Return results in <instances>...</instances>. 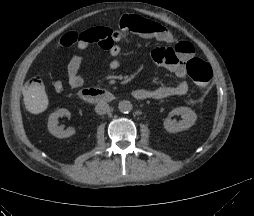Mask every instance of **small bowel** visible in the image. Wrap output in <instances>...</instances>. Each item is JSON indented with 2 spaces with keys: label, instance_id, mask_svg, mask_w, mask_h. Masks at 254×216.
Instances as JSON below:
<instances>
[{
  "label": "small bowel",
  "instance_id": "obj_1",
  "mask_svg": "<svg viewBox=\"0 0 254 216\" xmlns=\"http://www.w3.org/2000/svg\"><path fill=\"white\" fill-rule=\"evenodd\" d=\"M112 43L105 48L108 56V67L116 70L120 67L119 53L120 48L118 42L123 37L130 38L134 34L148 39H156L158 41L173 44L171 48L156 49L151 53V59L156 65L166 67L176 77L181 79L174 86H159L155 88H137L133 91V97L138 100L144 99H164L172 96H183L188 92V84L183 78L186 75V62L192 58L194 54L193 45L185 40L176 41L173 34L163 25L142 17L129 16L120 21L119 29L109 31ZM81 32L72 31L63 35L58 43L60 49L76 45L80 49H85L91 43H87L80 36ZM95 44V43H94ZM170 50L171 53L167 51ZM84 57L74 55L67 65V81L71 88H79L85 82V75L81 71ZM52 76V73H50ZM53 90L56 94H60L64 90V83L60 79H54L52 82ZM43 111V110H42Z\"/></svg>",
  "mask_w": 254,
  "mask_h": 216
}]
</instances>
